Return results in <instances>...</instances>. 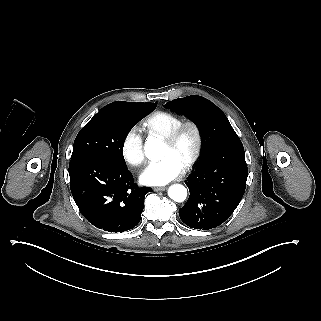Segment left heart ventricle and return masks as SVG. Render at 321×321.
<instances>
[{"label":"left heart ventricle","instance_id":"obj_1","mask_svg":"<svg viewBox=\"0 0 321 321\" xmlns=\"http://www.w3.org/2000/svg\"><path fill=\"white\" fill-rule=\"evenodd\" d=\"M194 145H195V135L192 130H187L184 133L177 148H173L171 145H169L167 142L164 141L163 154L164 156H167L170 154L175 155L178 158L179 162L184 167V164L187 158L189 157L190 153L192 152Z\"/></svg>","mask_w":321,"mask_h":321}]
</instances>
